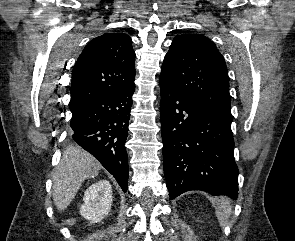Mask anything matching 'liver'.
I'll list each match as a JSON object with an SVG mask.
<instances>
[{"label": "liver", "mask_w": 295, "mask_h": 241, "mask_svg": "<svg viewBox=\"0 0 295 241\" xmlns=\"http://www.w3.org/2000/svg\"><path fill=\"white\" fill-rule=\"evenodd\" d=\"M102 165L78 146H69L53 175V201L57 210H65L84 180L98 175Z\"/></svg>", "instance_id": "1"}]
</instances>
